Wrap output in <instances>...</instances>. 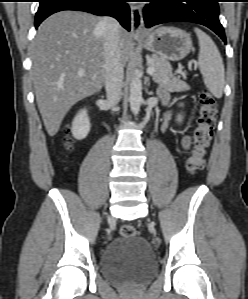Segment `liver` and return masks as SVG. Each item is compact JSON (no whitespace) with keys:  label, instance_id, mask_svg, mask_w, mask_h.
<instances>
[{"label":"liver","instance_id":"liver-1","mask_svg":"<svg viewBox=\"0 0 248 299\" xmlns=\"http://www.w3.org/2000/svg\"><path fill=\"white\" fill-rule=\"evenodd\" d=\"M100 20L85 12L61 11L38 28L30 50L32 78L37 105L50 136L57 134L75 103L99 91L105 82ZM119 42L125 65L133 44L131 35L122 27Z\"/></svg>","mask_w":248,"mask_h":299}]
</instances>
